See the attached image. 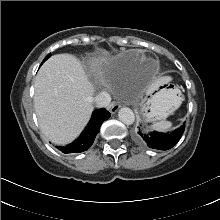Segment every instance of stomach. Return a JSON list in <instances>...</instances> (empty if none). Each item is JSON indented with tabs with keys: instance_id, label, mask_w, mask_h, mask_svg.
Returning <instances> with one entry per match:
<instances>
[{
	"instance_id": "stomach-1",
	"label": "stomach",
	"mask_w": 220,
	"mask_h": 220,
	"mask_svg": "<svg viewBox=\"0 0 220 220\" xmlns=\"http://www.w3.org/2000/svg\"><path fill=\"white\" fill-rule=\"evenodd\" d=\"M156 93L144 100L142 111L149 121L162 120L171 115L182 103L180 90L169 82H162L155 88Z\"/></svg>"
}]
</instances>
